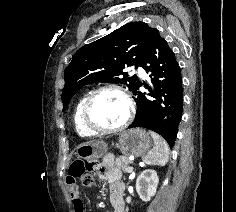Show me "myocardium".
Wrapping results in <instances>:
<instances>
[{
  "mask_svg": "<svg viewBox=\"0 0 236 212\" xmlns=\"http://www.w3.org/2000/svg\"><path fill=\"white\" fill-rule=\"evenodd\" d=\"M107 90H112V91L118 92L124 98V100L127 104V115H126L124 122L121 125H119L118 127L110 128V129L100 128V127L96 126L91 120V108H92L95 98L100 93L107 91ZM134 114H135L134 102L132 100V97L128 93V91L126 89H124L122 86L117 85V84H105V85H102V86L96 88L95 90H93L92 92H90L88 94V96L84 102V105H83L82 121H83L84 126L90 132H92L94 134H102V135L115 134V133H119V132L125 130L131 124V122L134 118Z\"/></svg>",
  "mask_w": 236,
  "mask_h": 212,
  "instance_id": "obj_1",
  "label": "myocardium"
}]
</instances>
